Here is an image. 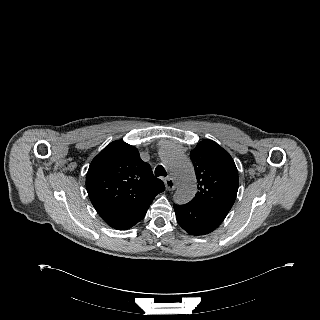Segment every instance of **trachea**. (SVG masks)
Listing matches in <instances>:
<instances>
[{"label":"trachea","instance_id":"3493384b","mask_svg":"<svg viewBox=\"0 0 320 320\" xmlns=\"http://www.w3.org/2000/svg\"><path fill=\"white\" fill-rule=\"evenodd\" d=\"M155 176H156V177H160V176L165 177V176H167V173H166V171H165V169H164L163 166L158 165V166L155 168Z\"/></svg>","mask_w":320,"mask_h":320}]
</instances>
